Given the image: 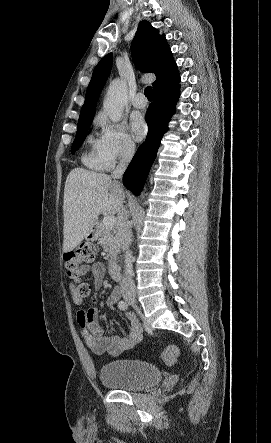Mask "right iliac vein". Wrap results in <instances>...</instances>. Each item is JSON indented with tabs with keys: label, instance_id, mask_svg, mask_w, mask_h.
<instances>
[{
	"label": "right iliac vein",
	"instance_id": "1",
	"mask_svg": "<svg viewBox=\"0 0 271 443\" xmlns=\"http://www.w3.org/2000/svg\"><path fill=\"white\" fill-rule=\"evenodd\" d=\"M126 300H128L131 303H134L136 301V297L134 294H129L126 296Z\"/></svg>",
	"mask_w": 271,
	"mask_h": 443
}]
</instances>
